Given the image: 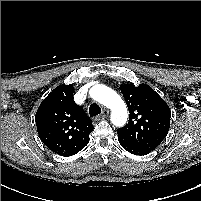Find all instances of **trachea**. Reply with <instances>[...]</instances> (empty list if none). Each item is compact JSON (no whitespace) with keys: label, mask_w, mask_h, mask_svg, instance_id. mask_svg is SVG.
Returning <instances> with one entry per match:
<instances>
[{"label":"trachea","mask_w":201,"mask_h":201,"mask_svg":"<svg viewBox=\"0 0 201 201\" xmlns=\"http://www.w3.org/2000/svg\"><path fill=\"white\" fill-rule=\"evenodd\" d=\"M101 113V108L98 104L93 103L89 107V114L91 117H95Z\"/></svg>","instance_id":"3493384b"}]
</instances>
